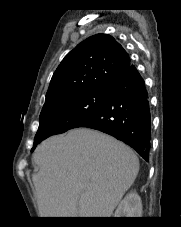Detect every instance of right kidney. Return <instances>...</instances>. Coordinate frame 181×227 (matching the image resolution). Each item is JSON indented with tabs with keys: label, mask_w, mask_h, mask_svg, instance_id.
I'll list each match as a JSON object with an SVG mask.
<instances>
[{
	"label": "right kidney",
	"mask_w": 181,
	"mask_h": 227,
	"mask_svg": "<svg viewBox=\"0 0 181 227\" xmlns=\"http://www.w3.org/2000/svg\"><path fill=\"white\" fill-rule=\"evenodd\" d=\"M114 217H142V202L140 196L132 191L118 205Z\"/></svg>",
	"instance_id": "ca27d5eb"
}]
</instances>
